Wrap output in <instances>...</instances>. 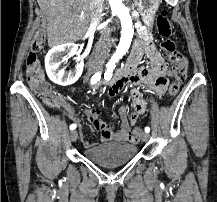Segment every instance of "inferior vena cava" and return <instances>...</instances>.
Wrapping results in <instances>:
<instances>
[{"mask_svg":"<svg viewBox=\"0 0 217 202\" xmlns=\"http://www.w3.org/2000/svg\"><path fill=\"white\" fill-rule=\"evenodd\" d=\"M103 2L104 0H89L91 22L100 20L99 16H101L100 12L103 8ZM100 34V40L92 56H94V58H108L111 48L110 30H108V28H104V30H101Z\"/></svg>","mask_w":217,"mask_h":202,"instance_id":"602c4592","label":"inferior vena cava"}]
</instances>
